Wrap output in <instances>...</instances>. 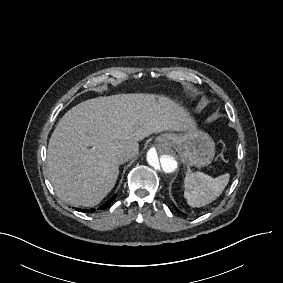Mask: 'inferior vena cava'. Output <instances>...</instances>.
<instances>
[{
  "mask_svg": "<svg viewBox=\"0 0 283 283\" xmlns=\"http://www.w3.org/2000/svg\"><path fill=\"white\" fill-rule=\"evenodd\" d=\"M138 154V149L132 145L126 146L123 150L117 153L116 162L118 164H124L125 162L132 160Z\"/></svg>",
  "mask_w": 283,
  "mask_h": 283,
  "instance_id": "1",
  "label": "inferior vena cava"
}]
</instances>
